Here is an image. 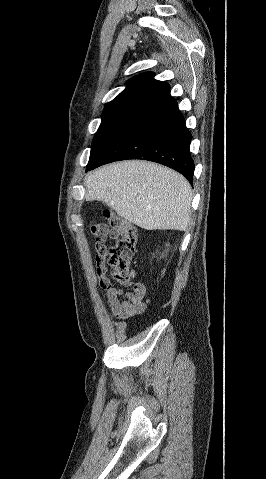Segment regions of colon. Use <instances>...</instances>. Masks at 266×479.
<instances>
[{
	"mask_svg": "<svg viewBox=\"0 0 266 479\" xmlns=\"http://www.w3.org/2000/svg\"><path fill=\"white\" fill-rule=\"evenodd\" d=\"M110 221L111 230L103 224L93 225L92 233L97 237L95 252L103 257L110 267L111 279L118 285H129L132 279V263L136 253L137 233L133 225L123 221L110 212H105ZM115 238V244L107 247L101 242L106 238Z\"/></svg>",
	"mask_w": 266,
	"mask_h": 479,
	"instance_id": "obj_1",
	"label": "colon"
}]
</instances>
